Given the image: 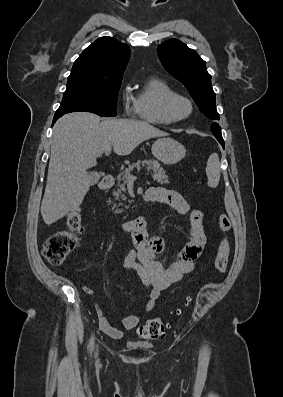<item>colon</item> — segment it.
I'll list each match as a JSON object with an SVG mask.
<instances>
[{
	"label": "colon",
	"mask_w": 283,
	"mask_h": 397,
	"mask_svg": "<svg viewBox=\"0 0 283 397\" xmlns=\"http://www.w3.org/2000/svg\"><path fill=\"white\" fill-rule=\"evenodd\" d=\"M218 224L222 232V239L218 247L214 267L217 274H223L229 262L230 245L227 233L231 229V220L227 214L221 213ZM81 230V213L78 209L72 210L66 217V228L54 233L46 240L43 247L44 257L53 264L62 263L76 247ZM166 327H168V323L165 320L154 318L138 327L137 335L145 340L160 339L163 337Z\"/></svg>",
	"instance_id": "obj_1"
}]
</instances>
